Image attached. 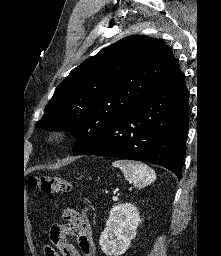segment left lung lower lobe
<instances>
[{
  "label": "left lung lower lobe",
  "mask_w": 221,
  "mask_h": 256,
  "mask_svg": "<svg viewBox=\"0 0 221 256\" xmlns=\"http://www.w3.org/2000/svg\"><path fill=\"white\" fill-rule=\"evenodd\" d=\"M188 90L179 71L135 108L100 128L94 141L73 155L93 154L163 166L181 179L188 131Z\"/></svg>",
  "instance_id": "0a47b994"
}]
</instances>
